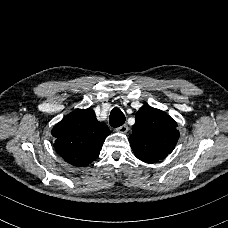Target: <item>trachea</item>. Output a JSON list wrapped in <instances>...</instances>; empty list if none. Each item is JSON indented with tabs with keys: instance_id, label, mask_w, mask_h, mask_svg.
<instances>
[{
	"instance_id": "obj_1",
	"label": "trachea",
	"mask_w": 228,
	"mask_h": 228,
	"mask_svg": "<svg viewBox=\"0 0 228 228\" xmlns=\"http://www.w3.org/2000/svg\"><path fill=\"white\" fill-rule=\"evenodd\" d=\"M125 120H126L125 116L120 109L114 108L111 111L110 117H109V122L111 127L118 128L119 126H122L125 123Z\"/></svg>"
}]
</instances>
